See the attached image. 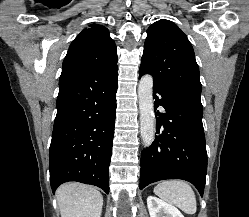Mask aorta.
Listing matches in <instances>:
<instances>
[{"instance_id":"obj_1","label":"aorta","mask_w":249,"mask_h":217,"mask_svg":"<svg viewBox=\"0 0 249 217\" xmlns=\"http://www.w3.org/2000/svg\"><path fill=\"white\" fill-rule=\"evenodd\" d=\"M153 77L144 75L138 84V101L140 111V133L143 144L149 147L155 138V115L153 104Z\"/></svg>"}]
</instances>
